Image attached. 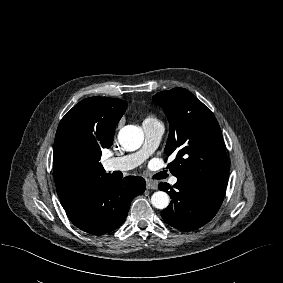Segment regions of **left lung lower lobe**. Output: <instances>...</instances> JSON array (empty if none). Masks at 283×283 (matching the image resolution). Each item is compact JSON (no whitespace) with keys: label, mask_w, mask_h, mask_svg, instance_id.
<instances>
[{"label":"left lung lower lobe","mask_w":283,"mask_h":283,"mask_svg":"<svg viewBox=\"0 0 283 283\" xmlns=\"http://www.w3.org/2000/svg\"><path fill=\"white\" fill-rule=\"evenodd\" d=\"M158 187L172 198L170 205L161 212L163 220L182 231L196 230L208 223L219 210L225 195V191L183 178H177L174 188L167 183H160Z\"/></svg>","instance_id":"1"}]
</instances>
